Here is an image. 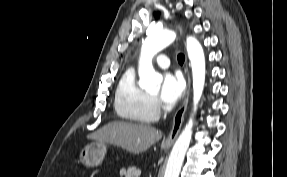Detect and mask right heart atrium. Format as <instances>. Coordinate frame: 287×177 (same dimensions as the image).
<instances>
[{"mask_svg": "<svg viewBox=\"0 0 287 177\" xmlns=\"http://www.w3.org/2000/svg\"><path fill=\"white\" fill-rule=\"evenodd\" d=\"M151 102H152V107H153V109H154V110H158V108H159V103H158V101H157L156 99H152Z\"/></svg>", "mask_w": 287, "mask_h": 177, "instance_id": "1", "label": "right heart atrium"}]
</instances>
